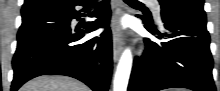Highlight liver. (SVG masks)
Instances as JSON below:
<instances>
[{
  "mask_svg": "<svg viewBox=\"0 0 220 91\" xmlns=\"http://www.w3.org/2000/svg\"><path fill=\"white\" fill-rule=\"evenodd\" d=\"M20 91H90L82 82L67 76H39L24 84Z\"/></svg>",
  "mask_w": 220,
  "mask_h": 91,
  "instance_id": "obj_1",
  "label": "liver"
}]
</instances>
